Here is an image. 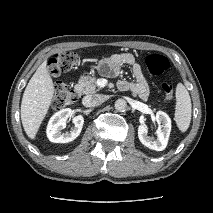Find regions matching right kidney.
Here are the masks:
<instances>
[{
	"label": "right kidney",
	"mask_w": 213,
	"mask_h": 213,
	"mask_svg": "<svg viewBox=\"0 0 213 213\" xmlns=\"http://www.w3.org/2000/svg\"><path fill=\"white\" fill-rule=\"evenodd\" d=\"M72 115L70 108L62 109L56 112L49 120L47 125V137L54 143H68L76 139L83 127L84 118L82 115L73 117L74 128L70 133H62L61 130L66 127V121Z\"/></svg>",
	"instance_id": "1"
}]
</instances>
